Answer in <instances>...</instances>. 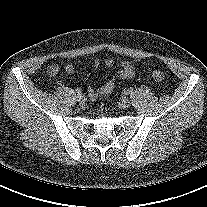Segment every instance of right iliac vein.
Masks as SVG:
<instances>
[{
	"mask_svg": "<svg viewBox=\"0 0 207 207\" xmlns=\"http://www.w3.org/2000/svg\"><path fill=\"white\" fill-rule=\"evenodd\" d=\"M76 100L77 102L80 104V105H83L85 103V97L81 94V95H77L76 97Z\"/></svg>",
	"mask_w": 207,
	"mask_h": 207,
	"instance_id": "right-iliac-vein-1",
	"label": "right iliac vein"
}]
</instances>
